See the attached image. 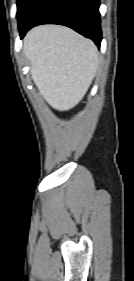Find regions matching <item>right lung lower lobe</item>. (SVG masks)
Returning a JSON list of instances; mask_svg holds the SVG:
<instances>
[{
    "mask_svg": "<svg viewBox=\"0 0 134 281\" xmlns=\"http://www.w3.org/2000/svg\"><path fill=\"white\" fill-rule=\"evenodd\" d=\"M100 0H34L19 25L20 37L40 24H60L101 43Z\"/></svg>",
    "mask_w": 134,
    "mask_h": 281,
    "instance_id": "1",
    "label": "right lung lower lobe"
}]
</instances>
